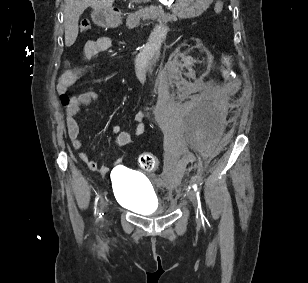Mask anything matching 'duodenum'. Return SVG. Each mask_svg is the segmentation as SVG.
I'll list each match as a JSON object with an SVG mask.
<instances>
[{"instance_id": "410a0bca", "label": "duodenum", "mask_w": 308, "mask_h": 283, "mask_svg": "<svg viewBox=\"0 0 308 283\" xmlns=\"http://www.w3.org/2000/svg\"><path fill=\"white\" fill-rule=\"evenodd\" d=\"M121 17V12L118 9H111L105 15H101L98 18V22L102 26L110 25L112 22L118 20ZM164 38V32L160 29L156 38H149L146 44H144V50H140L138 61L139 62H152L155 57L157 48L162 44Z\"/></svg>"}]
</instances>
